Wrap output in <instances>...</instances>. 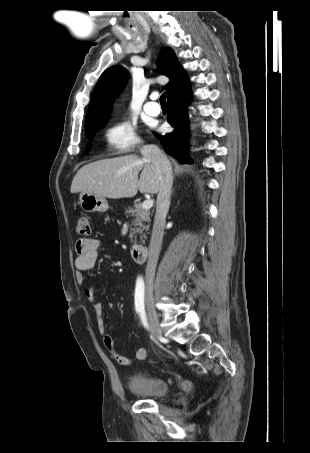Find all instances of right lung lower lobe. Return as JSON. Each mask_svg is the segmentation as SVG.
<instances>
[{
  "instance_id": "98d812e1",
  "label": "right lung lower lobe",
  "mask_w": 310,
  "mask_h": 453,
  "mask_svg": "<svg viewBox=\"0 0 310 453\" xmlns=\"http://www.w3.org/2000/svg\"><path fill=\"white\" fill-rule=\"evenodd\" d=\"M168 98V122L174 127L171 133L164 136L157 135L166 153L176 157L181 163H186V154L189 150L187 104L190 98V89L186 75L171 89Z\"/></svg>"
}]
</instances>
